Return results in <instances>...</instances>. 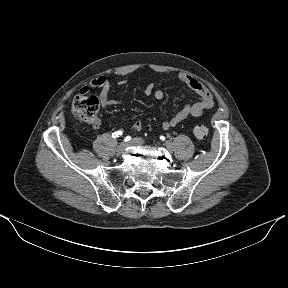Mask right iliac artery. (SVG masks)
Instances as JSON below:
<instances>
[{
	"mask_svg": "<svg viewBox=\"0 0 288 288\" xmlns=\"http://www.w3.org/2000/svg\"><path fill=\"white\" fill-rule=\"evenodd\" d=\"M120 135H122V132H121V131H116V132L112 133V136H113L114 138H117V137H119Z\"/></svg>",
	"mask_w": 288,
	"mask_h": 288,
	"instance_id": "82829eb1",
	"label": "right iliac artery"
}]
</instances>
